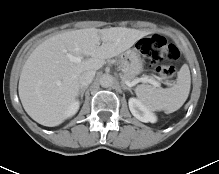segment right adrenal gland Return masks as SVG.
<instances>
[{
  "mask_svg": "<svg viewBox=\"0 0 219 174\" xmlns=\"http://www.w3.org/2000/svg\"><path fill=\"white\" fill-rule=\"evenodd\" d=\"M88 88V86H85V87H82L79 91V96L81 97V100L83 99V96H84V92L85 90Z\"/></svg>",
  "mask_w": 219,
  "mask_h": 174,
  "instance_id": "2a0ac1e0",
  "label": "right adrenal gland"
}]
</instances>
